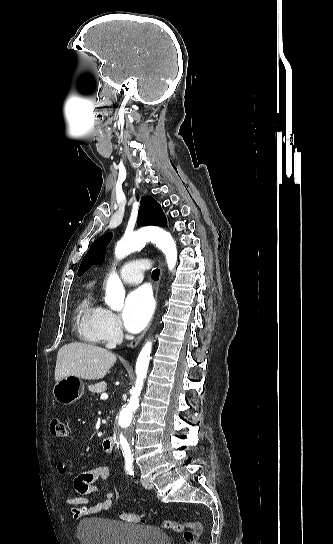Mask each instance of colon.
Returning a JSON list of instances; mask_svg holds the SVG:
<instances>
[{"label": "colon", "mask_w": 333, "mask_h": 544, "mask_svg": "<svg viewBox=\"0 0 333 544\" xmlns=\"http://www.w3.org/2000/svg\"><path fill=\"white\" fill-rule=\"evenodd\" d=\"M50 430L53 436L58 438H63L67 436V428L66 425L62 420L59 418H53L50 423ZM121 518L127 522L132 523H144L145 519L143 515L131 513L128 511H122L121 512ZM163 528L176 532V533H182L184 537V541L187 544H200V538L202 534V526L199 522H174L170 520H164L162 522Z\"/></svg>", "instance_id": "1"}]
</instances>
